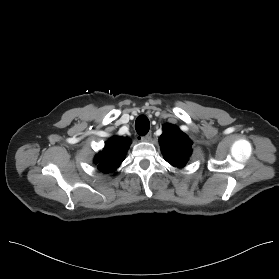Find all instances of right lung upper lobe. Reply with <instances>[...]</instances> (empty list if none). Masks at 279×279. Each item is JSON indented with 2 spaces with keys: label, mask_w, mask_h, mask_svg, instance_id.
Wrapping results in <instances>:
<instances>
[{
  "label": "right lung upper lobe",
  "mask_w": 279,
  "mask_h": 279,
  "mask_svg": "<svg viewBox=\"0 0 279 279\" xmlns=\"http://www.w3.org/2000/svg\"><path fill=\"white\" fill-rule=\"evenodd\" d=\"M131 140L126 137H112L94 158L97 168L104 173L114 172L125 158Z\"/></svg>",
  "instance_id": "cb5924a9"
}]
</instances>
